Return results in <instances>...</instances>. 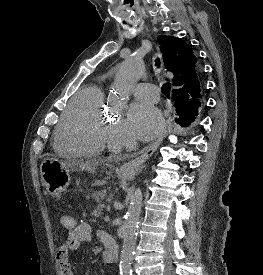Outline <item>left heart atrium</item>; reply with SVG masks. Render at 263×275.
Wrapping results in <instances>:
<instances>
[{"label":"left heart atrium","mask_w":263,"mask_h":275,"mask_svg":"<svg viewBox=\"0 0 263 275\" xmlns=\"http://www.w3.org/2000/svg\"><path fill=\"white\" fill-rule=\"evenodd\" d=\"M164 128V120L160 111L146 103H133L128 110L126 130L128 134L139 140H150Z\"/></svg>","instance_id":"1"}]
</instances>
